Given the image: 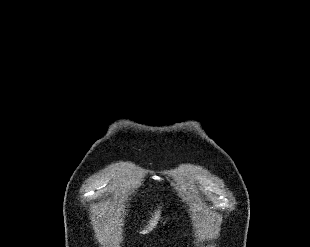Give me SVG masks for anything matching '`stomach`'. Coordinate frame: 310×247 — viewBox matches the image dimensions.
<instances>
[{
    "mask_svg": "<svg viewBox=\"0 0 310 247\" xmlns=\"http://www.w3.org/2000/svg\"><path fill=\"white\" fill-rule=\"evenodd\" d=\"M158 221L160 222V223H163V224H165L167 221H168V218H163V217H158ZM158 221H157V223H158Z\"/></svg>",
    "mask_w": 310,
    "mask_h": 247,
    "instance_id": "obj_1",
    "label": "stomach"
}]
</instances>
